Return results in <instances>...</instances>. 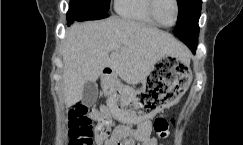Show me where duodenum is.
Returning a JSON list of instances; mask_svg holds the SVG:
<instances>
[{"mask_svg": "<svg viewBox=\"0 0 243 145\" xmlns=\"http://www.w3.org/2000/svg\"><path fill=\"white\" fill-rule=\"evenodd\" d=\"M104 76H105V81L107 84L112 82V70L111 68L107 67L104 69Z\"/></svg>", "mask_w": 243, "mask_h": 145, "instance_id": "obj_1", "label": "duodenum"}]
</instances>
